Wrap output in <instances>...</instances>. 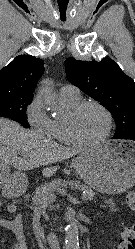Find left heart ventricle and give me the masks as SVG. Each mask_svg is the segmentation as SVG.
I'll list each match as a JSON object with an SVG mask.
<instances>
[{"label": "left heart ventricle", "mask_w": 135, "mask_h": 249, "mask_svg": "<svg viewBox=\"0 0 135 249\" xmlns=\"http://www.w3.org/2000/svg\"><path fill=\"white\" fill-rule=\"evenodd\" d=\"M75 129L84 139H96L105 133L107 120L100 109L89 106L75 119Z\"/></svg>", "instance_id": "b2bd125f"}]
</instances>
